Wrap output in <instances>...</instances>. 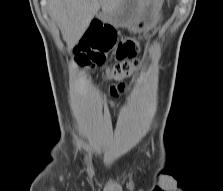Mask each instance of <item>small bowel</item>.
Segmentation results:
<instances>
[{"instance_id": "obj_1", "label": "small bowel", "mask_w": 223, "mask_h": 191, "mask_svg": "<svg viewBox=\"0 0 223 191\" xmlns=\"http://www.w3.org/2000/svg\"><path fill=\"white\" fill-rule=\"evenodd\" d=\"M98 26L100 27L102 25L98 24ZM125 91H126L125 84L113 85V86L110 87V90H109L110 94L114 97L125 93ZM113 106H114V104L112 102H110L109 107L113 108Z\"/></svg>"}]
</instances>
